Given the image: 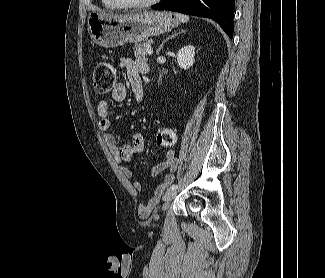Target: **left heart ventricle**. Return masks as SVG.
I'll use <instances>...</instances> for the list:
<instances>
[{
    "mask_svg": "<svg viewBox=\"0 0 325 278\" xmlns=\"http://www.w3.org/2000/svg\"><path fill=\"white\" fill-rule=\"evenodd\" d=\"M128 1H132V2H143V1H146V0H128Z\"/></svg>",
    "mask_w": 325,
    "mask_h": 278,
    "instance_id": "b2bd125f",
    "label": "left heart ventricle"
}]
</instances>
